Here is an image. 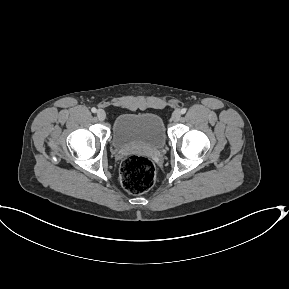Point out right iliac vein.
<instances>
[{
  "instance_id": "1",
  "label": "right iliac vein",
  "mask_w": 289,
  "mask_h": 289,
  "mask_svg": "<svg viewBox=\"0 0 289 289\" xmlns=\"http://www.w3.org/2000/svg\"><path fill=\"white\" fill-rule=\"evenodd\" d=\"M97 117H98V119L101 120V121L105 120V119H106V113H105V111L102 110V109H99V110L97 111Z\"/></svg>"
}]
</instances>
